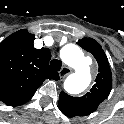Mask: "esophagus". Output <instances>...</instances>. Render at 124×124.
<instances>
[{
  "label": "esophagus",
  "mask_w": 124,
  "mask_h": 124,
  "mask_svg": "<svg viewBox=\"0 0 124 124\" xmlns=\"http://www.w3.org/2000/svg\"><path fill=\"white\" fill-rule=\"evenodd\" d=\"M70 73H72V69H71V68H69V67H63V68L59 71L60 79L66 78Z\"/></svg>",
  "instance_id": "34e87169"
}]
</instances>
